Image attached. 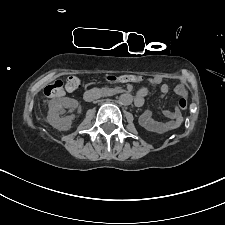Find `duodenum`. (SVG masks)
<instances>
[{
	"instance_id": "obj_1",
	"label": "duodenum",
	"mask_w": 225,
	"mask_h": 225,
	"mask_svg": "<svg viewBox=\"0 0 225 225\" xmlns=\"http://www.w3.org/2000/svg\"><path fill=\"white\" fill-rule=\"evenodd\" d=\"M102 96V92L98 90H87L84 93V99L88 102L94 101ZM135 104L137 106L142 104V99L135 96Z\"/></svg>"
}]
</instances>
